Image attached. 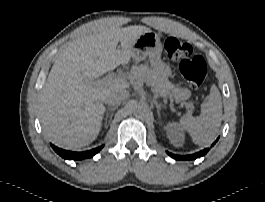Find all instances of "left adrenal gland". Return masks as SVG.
Wrapping results in <instances>:
<instances>
[{
	"label": "left adrenal gland",
	"instance_id": "1",
	"mask_svg": "<svg viewBox=\"0 0 265 202\" xmlns=\"http://www.w3.org/2000/svg\"><path fill=\"white\" fill-rule=\"evenodd\" d=\"M153 103L155 104L156 108H157V112H158V117H161V105L155 100L153 99Z\"/></svg>",
	"mask_w": 265,
	"mask_h": 202
}]
</instances>
